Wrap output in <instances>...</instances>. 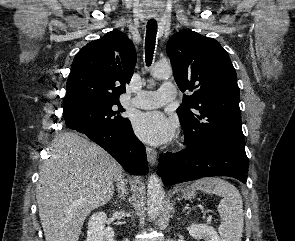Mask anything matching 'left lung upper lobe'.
Wrapping results in <instances>:
<instances>
[{
  "label": "left lung upper lobe",
  "instance_id": "5c2ea615",
  "mask_svg": "<svg viewBox=\"0 0 295 241\" xmlns=\"http://www.w3.org/2000/svg\"><path fill=\"white\" fill-rule=\"evenodd\" d=\"M183 104L177 109L187 146L223 144L245 151L236 71L220 43L182 30L166 46Z\"/></svg>",
  "mask_w": 295,
  "mask_h": 241
}]
</instances>
